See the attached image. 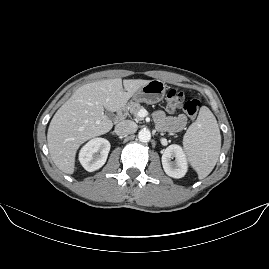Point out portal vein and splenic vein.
Masks as SVG:
<instances>
[{
  "label": "portal vein and splenic vein",
  "mask_w": 269,
  "mask_h": 269,
  "mask_svg": "<svg viewBox=\"0 0 269 269\" xmlns=\"http://www.w3.org/2000/svg\"><path fill=\"white\" fill-rule=\"evenodd\" d=\"M148 115V112L147 110L145 109H141L139 112H138V116L139 117H146Z\"/></svg>",
  "instance_id": "18ae733b"
}]
</instances>
